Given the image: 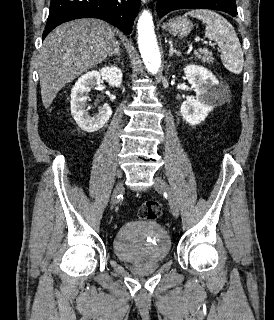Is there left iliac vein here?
I'll list each match as a JSON object with an SVG mask.
<instances>
[{
    "label": "left iliac vein",
    "instance_id": "1",
    "mask_svg": "<svg viewBox=\"0 0 274 320\" xmlns=\"http://www.w3.org/2000/svg\"><path fill=\"white\" fill-rule=\"evenodd\" d=\"M154 187L157 191L164 192L168 195L170 209L173 216L177 218L179 216V206L167 182L161 177H155Z\"/></svg>",
    "mask_w": 274,
    "mask_h": 320
}]
</instances>
